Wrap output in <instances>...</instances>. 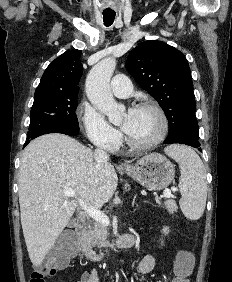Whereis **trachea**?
I'll return each mask as SVG.
<instances>
[{"mask_svg":"<svg viewBox=\"0 0 232 282\" xmlns=\"http://www.w3.org/2000/svg\"><path fill=\"white\" fill-rule=\"evenodd\" d=\"M115 19V12H103L104 25L109 27L113 24Z\"/></svg>","mask_w":232,"mask_h":282,"instance_id":"3493384b","label":"trachea"}]
</instances>
